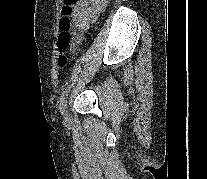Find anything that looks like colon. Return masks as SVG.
<instances>
[{"label":"colon","mask_w":207,"mask_h":179,"mask_svg":"<svg viewBox=\"0 0 207 179\" xmlns=\"http://www.w3.org/2000/svg\"><path fill=\"white\" fill-rule=\"evenodd\" d=\"M79 1L80 0H63V5L61 8L62 17L59 20V34L57 36V46L61 52V55L58 59V64L62 68L67 63V58L64 52L71 47L74 41L73 35L71 33V16Z\"/></svg>","instance_id":"5ec220e1"}]
</instances>
